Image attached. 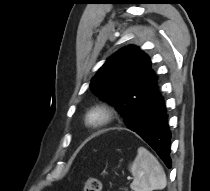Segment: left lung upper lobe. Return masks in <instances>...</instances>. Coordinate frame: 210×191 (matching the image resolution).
I'll list each match as a JSON object with an SVG mask.
<instances>
[{
  "mask_svg": "<svg viewBox=\"0 0 210 191\" xmlns=\"http://www.w3.org/2000/svg\"><path fill=\"white\" fill-rule=\"evenodd\" d=\"M157 76L150 58L138 47L127 46L113 54L92 78L91 90L117 107L126 120L148 96Z\"/></svg>",
  "mask_w": 210,
  "mask_h": 191,
  "instance_id": "1",
  "label": "left lung upper lobe"
}]
</instances>
